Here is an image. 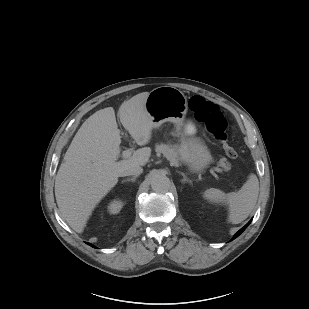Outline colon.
<instances>
[{
	"instance_id": "colon-1",
	"label": "colon",
	"mask_w": 309,
	"mask_h": 309,
	"mask_svg": "<svg viewBox=\"0 0 309 309\" xmlns=\"http://www.w3.org/2000/svg\"><path fill=\"white\" fill-rule=\"evenodd\" d=\"M189 109L195 119L202 123L207 131L223 144L225 154L229 158H236L238 152L228 141V124L220 107L202 96L196 95L189 100Z\"/></svg>"
}]
</instances>
